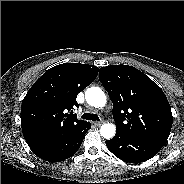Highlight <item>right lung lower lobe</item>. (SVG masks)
<instances>
[{
  "label": "right lung lower lobe",
  "instance_id": "1",
  "mask_svg": "<svg viewBox=\"0 0 184 184\" xmlns=\"http://www.w3.org/2000/svg\"><path fill=\"white\" fill-rule=\"evenodd\" d=\"M90 128L91 126L71 138L57 140L43 146L31 148V150L36 156L45 161H63L77 152L82 144L86 131Z\"/></svg>",
  "mask_w": 184,
  "mask_h": 184
}]
</instances>
